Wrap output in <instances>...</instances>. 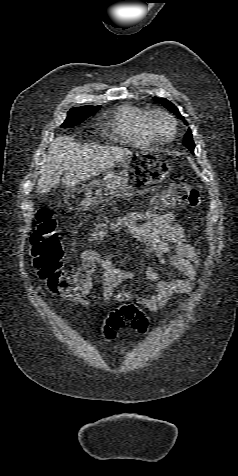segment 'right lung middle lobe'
I'll list each match as a JSON object with an SVG mask.
<instances>
[{"instance_id":"dd1d6c3e","label":"right lung middle lobe","mask_w":238,"mask_h":476,"mask_svg":"<svg viewBox=\"0 0 238 476\" xmlns=\"http://www.w3.org/2000/svg\"><path fill=\"white\" fill-rule=\"evenodd\" d=\"M100 107H76L72 108L67 113V118L65 122L61 125L62 127H72L82 121H84L89 116L93 115Z\"/></svg>"}]
</instances>
